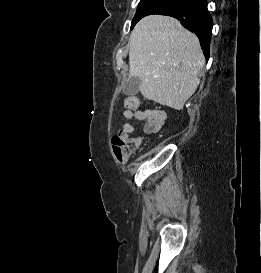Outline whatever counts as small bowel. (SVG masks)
I'll use <instances>...</instances> for the list:
<instances>
[{
  "label": "small bowel",
  "mask_w": 261,
  "mask_h": 273,
  "mask_svg": "<svg viewBox=\"0 0 261 273\" xmlns=\"http://www.w3.org/2000/svg\"><path fill=\"white\" fill-rule=\"evenodd\" d=\"M123 115L127 120L136 119L142 121L144 123L143 129L146 133H157L163 127L166 120V114L162 110L158 109H147L142 112H135L126 107ZM134 129V126L130 123H126L123 127V131L128 134L133 133Z\"/></svg>",
  "instance_id": "c3829d8e"
}]
</instances>
